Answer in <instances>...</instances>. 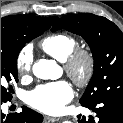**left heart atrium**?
Returning <instances> with one entry per match:
<instances>
[{
	"mask_svg": "<svg viewBox=\"0 0 123 123\" xmlns=\"http://www.w3.org/2000/svg\"><path fill=\"white\" fill-rule=\"evenodd\" d=\"M73 98V90L66 81H57L37 86L26 96V102L44 113H59Z\"/></svg>",
	"mask_w": 123,
	"mask_h": 123,
	"instance_id": "39dd6f15",
	"label": "left heart atrium"
}]
</instances>
